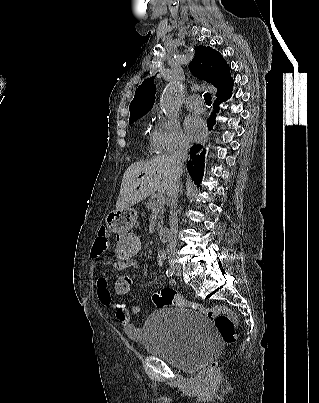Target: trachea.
Returning a JSON list of instances; mask_svg holds the SVG:
<instances>
[{
    "label": "trachea",
    "mask_w": 319,
    "mask_h": 403,
    "mask_svg": "<svg viewBox=\"0 0 319 403\" xmlns=\"http://www.w3.org/2000/svg\"><path fill=\"white\" fill-rule=\"evenodd\" d=\"M204 100H205L207 105H211L212 104L211 94L210 93H205L204 94Z\"/></svg>",
    "instance_id": "trachea-1"
}]
</instances>
